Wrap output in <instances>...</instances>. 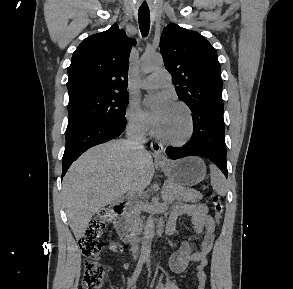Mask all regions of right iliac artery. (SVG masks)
I'll list each match as a JSON object with an SVG mask.
<instances>
[{
	"label": "right iliac artery",
	"mask_w": 293,
	"mask_h": 289,
	"mask_svg": "<svg viewBox=\"0 0 293 289\" xmlns=\"http://www.w3.org/2000/svg\"><path fill=\"white\" fill-rule=\"evenodd\" d=\"M145 263V259L144 258H140L139 261H138V264L136 266V269L132 275V278L129 280L128 282V287L127 289H129L137 280L139 274L141 273V270H142V267Z\"/></svg>",
	"instance_id": "right-iliac-artery-1"
}]
</instances>
